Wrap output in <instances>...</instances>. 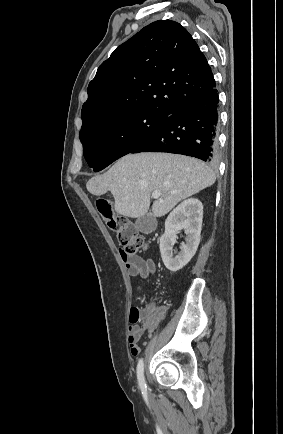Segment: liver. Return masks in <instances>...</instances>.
I'll return each mask as SVG.
<instances>
[{
  "label": "liver",
  "instance_id": "1",
  "mask_svg": "<svg viewBox=\"0 0 283 434\" xmlns=\"http://www.w3.org/2000/svg\"><path fill=\"white\" fill-rule=\"evenodd\" d=\"M215 180L213 170L198 159L145 152L120 158L106 173L89 179L86 188L96 196L110 191L115 211L130 218L146 215L151 193L160 191L162 195L153 202L152 213L162 217Z\"/></svg>",
  "mask_w": 283,
  "mask_h": 434
}]
</instances>
